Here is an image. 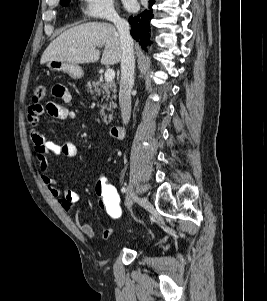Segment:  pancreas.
I'll return each mask as SVG.
<instances>
[{
	"instance_id": "pancreas-1",
	"label": "pancreas",
	"mask_w": 267,
	"mask_h": 301,
	"mask_svg": "<svg viewBox=\"0 0 267 301\" xmlns=\"http://www.w3.org/2000/svg\"><path fill=\"white\" fill-rule=\"evenodd\" d=\"M87 90L93 95L94 99L100 97L103 94V99L108 103L106 105H101V116L103 117V122L109 124L112 120V115L110 114L107 118L106 110L110 111L112 108H116L117 105L113 100L116 99V85L112 82L103 83L100 81H89L87 84Z\"/></svg>"
}]
</instances>
